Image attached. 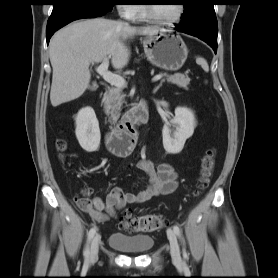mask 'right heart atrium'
Here are the masks:
<instances>
[{
	"label": "right heart atrium",
	"instance_id": "d8ad5b80",
	"mask_svg": "<svg viewBox=\"0 0 278 278\" xmlns=\"http://www.w3.org/2000/svg\"><path fill=\"white\" fill-rule=\"evenodd\" d=\"M117 7L121 16L126 19H132L136 14L138 6L135 4H120Z\"/></svg>",
	"mask_w": 278,
	"mask_h": 278
}]
</instances>
